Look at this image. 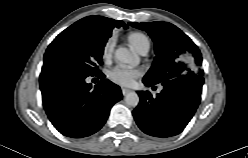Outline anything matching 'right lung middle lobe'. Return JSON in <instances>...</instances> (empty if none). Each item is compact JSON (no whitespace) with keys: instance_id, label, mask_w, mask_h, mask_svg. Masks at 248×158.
Wrapping results in <instances>:
<instances>
[{"instance_id":"right-lung-middle-lobe-1","label":"right lung middle lobe","mask_w":248,"mask_h":158,"mask_svg":"<svg viewBox=\"0 0 248 158\" xmlns=\"http://www.w3.org/2000/svg\"><path fill=\"white\" fill-rule=\"evenodd\" d=\"M105 44L106 40L94 37L76 22L49 45L44 55L42 73L58 71L80 76L97 75Z\"/></svg>"}]
</instances>
